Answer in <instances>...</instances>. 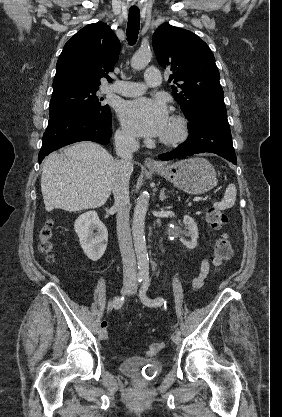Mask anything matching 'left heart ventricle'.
<instances>
[{"label": "left heart ventricle", "instance_id": "obj_1", "mask_svg": "<svg viewBox=\"0 0 282 417\" xmlns=\"http://www.w3.org/2000/svg\"><path fill=\"white\" fill-rule=\"evenodd\" d=\"M173 133V127H172V125H171V123H170V121L168 122V125H167V127H166V129H165V131L163 132V134L162 135H164V136H169V135H171Z\"/></svg>", "mask_w": 282, "mask_h": 417}]
</instances>
